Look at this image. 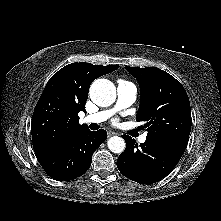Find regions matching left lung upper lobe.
<instances>
[{"label":"left lung upper lobe","instance_id":"obj_1","mask_svg":"<svg viewBox=\"0 0 221 221\" xmlns=\"http://www.w3.org/2000/svg\"><path fill=\"white\" fill-rule=\"evenodd\" d=\"M140 85V107L136 121L146 122L148 140L184 153L191 130V109L182 84L155 67H125Z\"/></svg>","mask_w":221,"mask_h":221}]
</instances>
